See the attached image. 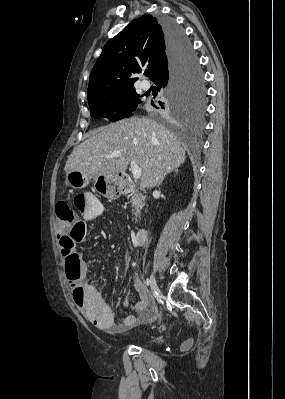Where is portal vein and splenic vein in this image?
<instances>
[{"instance_id":"18ae733b","label":"portal vein and splenic vein","mask_w":285,"mask_h":399,"mask_svg":"<svg viewBox=\"0 0 285 399\" xmlns=\"http://www.w3.org/2000/svg\"><path fill=\"white\" fill-rule=\"evenodd\" d=\"M121 156L120 151H115L111 153L109 156H106V158H118ZM130 167L132 170V176L135 180L139 179L142 173V169L137 165L135 161H131Z\"/></svg>"}]
</instances>
